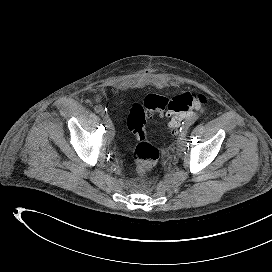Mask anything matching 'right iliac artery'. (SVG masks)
I'll list each match as a JSON object with an SVG mask.
<instances>
[{
	"mask_svg": "<svg viewBox=\"0 0 272 272\" xmlns=\"http://www.w3.org/2000/svg\"><path fill=\"white\" fill-rule=\"evenodd\" d=\"M94 110L102 117L105 115V109L102 106H95Z\"/></svg>",
	"mask_w": 272,
	"mask_h": 272,
	"instance_id": "82829eb1",
	"label": "right iliac artery"
}]
</instances>
